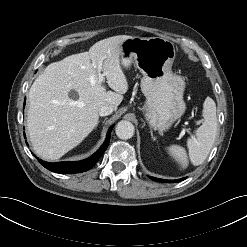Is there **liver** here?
Masks as SVG:
<instances>
[{"label":"liver","mask_w":247,"mask_h":247,"mask_svg":"<svg viewBox=\"0 0 247 247\" xmlns=\"http://www.w3.org/2000/svg\"><path fill=\"white\" fill-rule=\"evenodd\" d=\"M127 35L96 42L88 52L74 54L49 64L29 90L27 130L35 153L57 160L79 145L96 127L99 108L117 109L128 90L120 66L121 45ZM101 68L108 86L99 82ZM75 91L77 99L69 97Z\"/></svg>","instance_id":"6515ba94"}]
</instances>
